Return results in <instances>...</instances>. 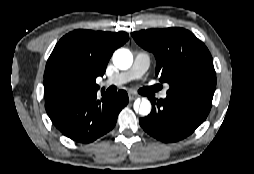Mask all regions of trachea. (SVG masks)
I'll return each mask as SVG.
<instances>
[{"label": "trachea", "instance_id": "1", "mask_svg": "<svg viewBox=\"0 0 254 174\" xmlns=\"http://www.w3.org/2000/svg\"><path fill=\"white\" fill-rule=\"evenodd\" d=\"M159 87L158 86H154V87H147V88H144L140 91L141 94H150V93H153L155 92L156 90H158Z\"/></svg>", "mask_w": 254, "mask_h": 174}]
</instances>
